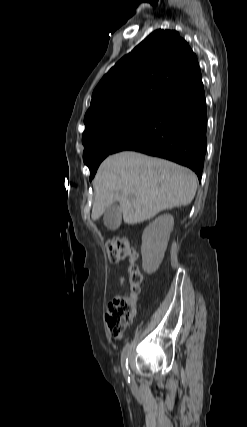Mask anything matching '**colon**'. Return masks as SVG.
Returning <instances> with one entry per match:
<instances>
[{
	"label": "colon",
	"mask_w": 247,
	"mask_h": 427,
	"mask_svg": "<svg viewBox=\"0 0 247 427\" xmlns=\"http://www.w3.org/2000/svg\"><path fill=\"white\" fill-rule=\"evenodd\" d=\"M107 256L111 262L130 258L129 281L130 293L116 296L109 304L106 321L113 337H121L136 314V299L141 291L144 275L136 264L138 253L129 238L125 235L110 240L107 245Z\"/></svg>",
	"instance_id": "5ec220e1"
}]
</instances>
